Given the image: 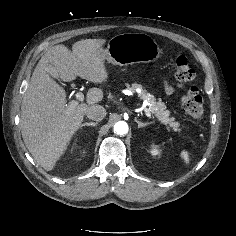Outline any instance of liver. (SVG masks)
Here are the masks:
<instances>
[{"mask_svg": "<svg viewBox=\"0 0 236 236\" xmlns=\"http://www.w3.org/2000/svg\"><path fill=\"white\" fill-rule=\"evenodd\" d=\"M105 39L75 42L70 51L56 45L44 53L34 69L21 104L20 127L24 143L35 161L51 171L81 126L87 109L103 99V91L91 88L86 103H67L64 89L52 78L54 70L65 82L77 76L96 84L108 80L102 46Z\"/></svg>", "mask_w": 236, "mask_h": 236, "instance_id": "6515ba94", "label": "liver"}]
</instances>
